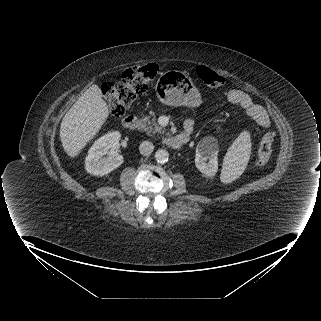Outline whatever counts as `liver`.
<instances>
[{"instance_id": "1", "label": "liver", "mask_w": 321, "mask_h": 321, "mask_svg": "<svg viewBox=\"0 0 321 321\" xmlns=\"http://www.w3.org/2000/svg\"><path fill=\"white\" fill-rule=\"evenodd\" d=\"M109 116V107L97 85L90 86L65 114L60 139L68 156H78L81 149L98 133Z\"/></svg>"}]
</instances>
